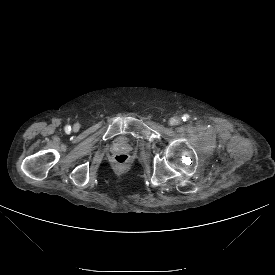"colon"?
<instances>
[{
    "mask_svg": "<svg viewBox=\"0 0 275 275\" xmlns=\"http://www.w3.org/2000/svg\"><path fill=\"white\" fill-rule=\"evenodd\" d=\"M129 157L126 154H117L114 156V163L123 166L128 163Z\"/></svg>",
    "mask_w": 275,
    "mask_h": 275,
    "instance_id": "colon-1",
    "label": "colon"
}]
</instances>
